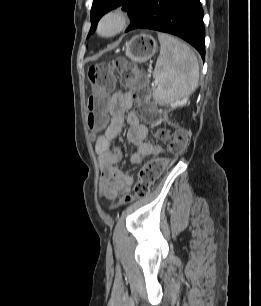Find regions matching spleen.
Listing matches in <instances>:
<instances>
[{
	"label": "spleen",
	"mask_w": 261,
	"mask_h": 306,
	"mask_svg": "<svg viewBox=\"0 0 261 306\" xmlns=\"http://www.w3.org/2000/svg\"><path fill=\"white\" fill-rule=\"evenodd\" d=\"M161 49L153 72L158 82L154 98L160 104H184L195 91L199 64L193 51L184 43L158 33Z\"/></svg>",
	"instance_id": "spleen-1"
}]
</instances>
